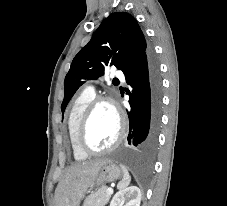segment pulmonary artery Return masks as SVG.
<instances>
[{
    "label": "pulmonary artery",
    "mask_w": 227,
    "mask_h": 206,
    "mask_svg": "<svg viewBox=\"0 0 227 206\" xmlns=\"http://www.w3.org/2000/svg\"><path fill=\"white\" fill-rule=\"evenodd\" d=\"M113 75L115 76V77H117V78H123L124 76H123V73L121 72V71H115L114 73H113ZM86 91H89V92H93L94 93V88L92 87V86H88L87 88H86Z\"/></svg>",
    "instance_id": "e3ab8cb5"
}]
</instances>
